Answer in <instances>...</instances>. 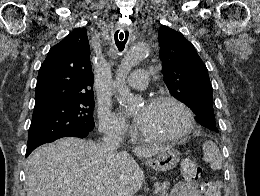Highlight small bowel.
I'll return each instance as SVG.
<instances>
[{
    "label": "small bowel",
    "instance_id": "1",
    "mask_svg": "<svg viewBox=\"0 0 260 196\" xmlns=\"http://www.w3.org/2000/svg\"><path fill=\"white\" fill-rule=\"evenodd\" d=\"M205 187L206 184L200 185L197 181L179 182L173 187L170 196H201L200 192H204ZM204 196H206V192H204Z\"/></svg>",
    "mask_w": 260,
    "mask_h": 196
}]
</instances>
